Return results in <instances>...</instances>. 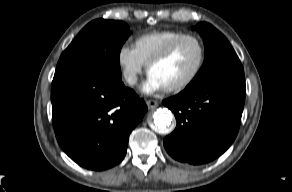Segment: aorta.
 Masks as SVG:
<instances>
[{
	"instance_id": "obj_1",
	"label": "aorta",
	"mask_w": 292,
	"mask_h": 192,
	"mask_svg": "<svg viewBox=\"0 0 292 192\" xmlns=\"http://www.w3.org/2000/svg\"><path fill=\"white\" fill-rule=\"evenodd\" d=\"M173 120L171 111L167 109H158L153 115L155 130L161 134H167L170 130V125Z\"/></svg>"
}]
</instances>
